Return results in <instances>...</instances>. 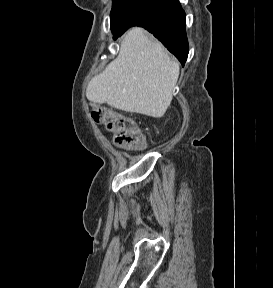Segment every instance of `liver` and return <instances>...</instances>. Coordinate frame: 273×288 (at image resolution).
Here are the masks:
<instances>
[{
	"mask_svg": "<svg viewBox=\"0 0 273 288\" xmlns=\"http://www.w3.org/2000/svg\"><path fill=\"white\" fill-rule=\"evenodd\" d=\"M179 69L161 43L135 27L124 37L117 58L91 79L86 97L93 103L160 118L172 101Z\"/></svg>",
	"mask_w": 273,
	"mask_h": 288,
	"instance_id": "liver-1",
	"label": "liver"
}]
</instances>
